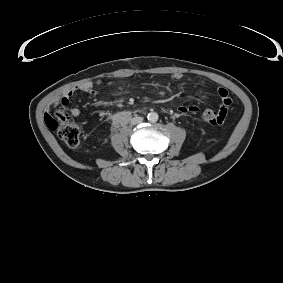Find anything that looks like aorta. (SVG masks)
I'll return each mask as SVG.
<instances>
[{
  "mask_svg": "<svg viewBox=\"0 0 283 283\" xmlns=\"http://www.w3.org/2000/svg\"><path fill=\"white\" fill-rule=\"evenodd\" d=\"M158 114L156 112H150L147 116L149 122L155 123L158 121Z\"/></svg>",
  "mask_w": 283,
  "mask_h": 283,
  "instance_id": "aorta-1",
  "label": "aorta"
}]
</instances>
